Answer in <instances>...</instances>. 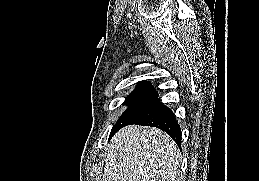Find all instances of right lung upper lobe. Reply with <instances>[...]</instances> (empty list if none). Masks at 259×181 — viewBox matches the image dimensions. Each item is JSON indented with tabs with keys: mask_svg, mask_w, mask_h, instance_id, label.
Masks as SVG:
<instances>
[{
	"mask_svg": "<svg viewBox=\"0 0 259 181\" xmlns=\"http://www.w3.org/2000/svg\"><path fill=\"white\" fill-rule=\"evenodd\" d=\"M137 84L138 86H152L151 84H149V82H146V81H140Z\"/></svg>",
	"mask_w": 259,
	"mask_h": 181,
	"instance_id": "right-lung-upper-lobe-1",
	"label": "right lung upper lobe"
}]
</instances>
